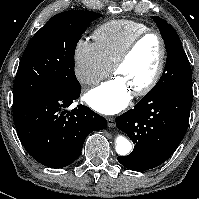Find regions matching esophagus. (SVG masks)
Returning <instances> with one entry per match:
<instances>
[{
    "mask_svg": "<svg viewBox=\"0 0 199 199\" xmlns=\"http://www.w3.org/2000/svg\"><path fill=\"white\" fill-rule=\"evenodd\" d=\"M107 124L109 127H114L115 126V118L114 117H108L107 118Z\"/></svg>",
    "mask_w": 199,
    "mask_h": 199,
    "instance_id": "esophagus-1",
    "label": "esophagus"
}]
</instances>
